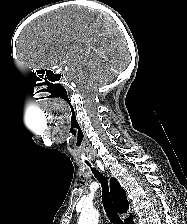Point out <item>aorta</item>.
<instances>
[{
	"mask_svg": "<svg viewBox=\"0 0 187 224\" xmlns=\"http://www.w3.org/2000/svg\"><path fill=\"white\" fill-rule=\"evenodd\" d=\"M99 213L94 209H84L79 217L78 224H98Z\"/></svg>",
	"mask_w": 187,
	"mask_h": 224,
	"instance_id": "aorta-1",
	"label": "aorta"
}]
</instances>
